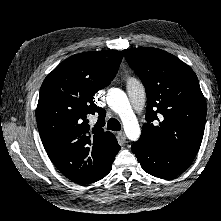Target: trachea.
<instances>
[{"label":"trachea","instance_id":"obj_1","mask_svg":"<svg viewBox=\"0 0 221 221\" xmlns=\"http://www.w3.org/2000/svg\"><path fill=\"white\" fill-rule=\"evenodd\" d=\"M107 129L112 130V131H120L121 130V124L117 119L110 118L108 120Z\"/></svg>","mask_w":221,"mask_h":221}]
</instances>
